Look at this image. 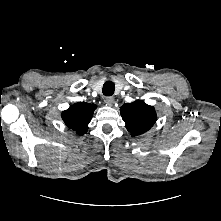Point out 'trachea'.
I'll use <instances>...</instances> for the list:
<instances>
[{"label": "trachea", "instance_id": "obj_1", "mask_svg": "<svg viewBox=\"0 0 221 221\" xmlns=\"http://www.w3.org/2000/svg\"><path fill=\"white\" fill-rule=\"evenodd\" d=\"M115 90V84L112 81H107L103 85V94L105 96H112Z\"/></svg>", "mask_w": 221, "mask_h": 221}]
</instances>
